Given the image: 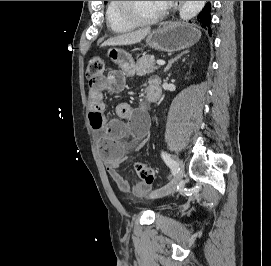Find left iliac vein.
<instances>
[{"label":"left iliac vein","instance_id":"left-iliac-vein-1","mask_svg":"<svg viewBox=\"0 0 271 266\" xmlns=\"http://www.w3.org/2000/svg\"><path fill=\"white\" fill-rule=\"evenodd\" d=\"M175 164H176V175L174 179L166 186L151 192L150 198H160V197L169 195L176 189L178 184L182 181L183 176H184V169H183L182 163L178 159L175 161Z\"/></svg>","mask_w":271,"mask_h":266}]
</instances>
